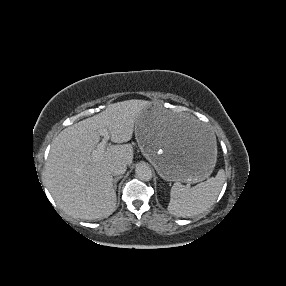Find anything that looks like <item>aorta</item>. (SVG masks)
<instances>
[{
  "label": "aorta",
  "instance_id": "762f6f07",
  "mask_svg": "<svg viewBox=\"0 0 286 286\" xmlns=\"http://www.w3.org/2000/svg\"><path fill=\"white\" fill-rule=\"evenodd\" d=\"M135 174L136 177L142 181H149L152 179V170L145 163H140L136 166Z\"/></svg>",
  "mask_w": 286,
  "mask_h": 286
}]
</instances>
